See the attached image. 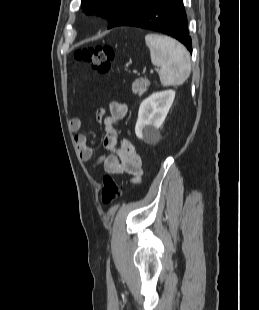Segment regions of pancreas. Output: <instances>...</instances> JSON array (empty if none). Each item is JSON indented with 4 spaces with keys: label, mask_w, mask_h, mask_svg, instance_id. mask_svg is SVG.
I'll return each instance as SVG.
<instances>
[{
    "label": "pancreas",
    "mask_w": 259,
    "mask_h": 310,
    "mask_svg": "<svg viewBox=\"0 0 259 310\" xmlns=\"http://www.w3.org/2000/svg\"><path fill=\"white\" fill-rule=\"evenodd\" d=\"M149 85V81L144 78L136 79L132 83V92L134 95L142 96L146 91Z\"/></svg>",
    "instance_id": "1"
}]
</instances>
